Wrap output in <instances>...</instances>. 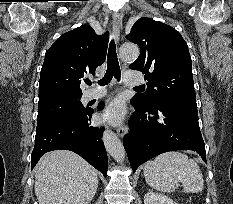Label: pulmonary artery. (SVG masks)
I'll return each mask as SVG.
<instances>
[{
	"label": "pulmonary artery",
	"instance_id": "pulmonary-artery-1",
	"mask_svg": "<svg viewBox=\"0 0 233 204\" xmlns=\"http://www.w3.org/2000/svg\"><path fill=\"white\" fill-rule=\"evenodd\" d=\"M144 82L141 75L136 73L128 72L124 76V83L126 85H140ZM106 91L104 88L100 89H90L83 94L84 101H91L94 99H99L105 95Z\"/></svg>",
	"mask_w": 233,
	"mask_h": 204
}]
</instances>
